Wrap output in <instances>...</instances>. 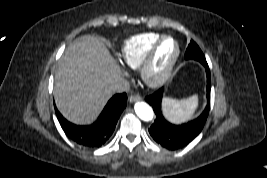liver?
<instances>
[{
  "mask_svg": "<svg viewBox=\"0 0 267 178\" xmlns=\"http://www.w3.org/2000/svg\"><path fill=\"white\" fill-rule=\"evenodd\" d=\"M120 69L103 42L84 35L66 48L55 74V103L76 124H88L101 112L112 93L109 85Z\"/></svg>",
  "mask_w": 267,
  "mask_h": 178,
  "instance_id": "obj_1",
  "label": "liver"
}]
</instances>
